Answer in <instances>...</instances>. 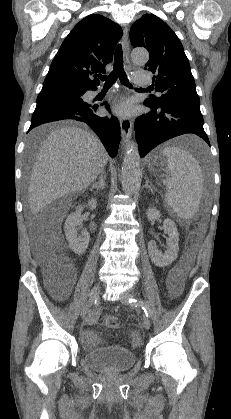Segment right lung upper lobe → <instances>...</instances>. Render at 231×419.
I'll list each match as a JSON object with an SVG mask.
<instances>
[{"instance_id":"cb5924a9","label":"right lung upper lobe","mask_w":231,"mask_h":419,"mask_svg":"<svg viewBox=\"0 0 231 419\" xmlns=\"http://www.w3.org/2000/svg\"><path fill=\"white\" fill-rule=\"evenodd\" d=\"M121 27L110 19L92 14L82 19L63 41L53 59L43 87L63 85L81 90L93 89L99 80L93 75L105 72L112 61Z\"/></svg>"}]
</instances>
